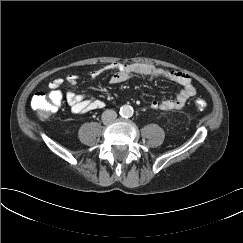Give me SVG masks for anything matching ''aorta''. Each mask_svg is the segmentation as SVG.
<instances>
[{
	"mask_svg": "<svg viewBox=\"0 0 243 243\" xmlns=\"http://www.w3.org/2000/svg\"><path fill=\"white\" fill-rule=\"evenodd\" d=\"M119 113L124 118H130L133 115V108L129 105H123L121 106Z\"/></svg>",
	"mask_w": 243,
	"mask_h": 243,
	"instance_id": "762f6f07",
	"label": "aorta"
}]
</instances>
